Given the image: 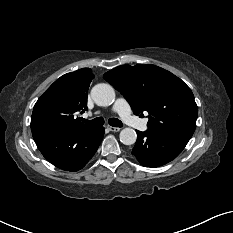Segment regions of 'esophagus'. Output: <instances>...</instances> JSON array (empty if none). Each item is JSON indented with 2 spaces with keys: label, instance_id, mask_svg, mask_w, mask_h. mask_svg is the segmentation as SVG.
I'll return each instance as SVG.
<instances>
[{
  "label": "esophagus",
  "instance_id": "34e87169",
  "mask_svg": "<svg viewBox=\"0 0 233 233\" xmlns=\"http://www.w3.org/2000/svg\"><path fill=\"white\" fill-rule=\"evenodd\" d=\"M107 129L111 132H119L120 131L119 127H113V126H107Z\"/></svg>",
  "mask_w": 233,
  "mask_h": 233
}]
</instances>
